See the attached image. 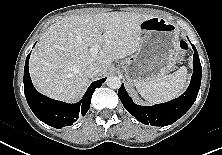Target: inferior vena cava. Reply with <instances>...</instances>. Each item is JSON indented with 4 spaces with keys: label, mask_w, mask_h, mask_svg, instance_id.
Masks as SVG:
<instances>
[{
    "label": "inferior vena cava",
    "mask_w": 222,
    "mask_h": 155,
    "mask_svg": "<svg viewBox=\"0 0 222 155\" xmlns=\"http://www.w3.org/2000/svg\"><path fill=\"white\" fill-rule=\"evenodd\" d=\"M85 72L89 78L99 77L102 74V68L96 64H91L86 68Z\"/></svg>",
    "instance_id": "602c4592"
}]
</instances>
